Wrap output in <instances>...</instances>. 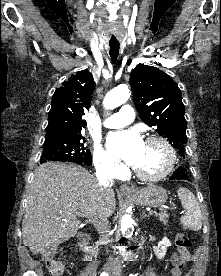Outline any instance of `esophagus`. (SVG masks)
Here are the masks:
<instances>
[{
	"label": "esophagus",
	"mask_w": 221,
	"mask_h": 276,
	"mask_svg": "<svg viewBox=\"0 0 221 276\" xmlns=\"http://www.w3.org/2000/svg\"><path fill=\"white\" fill-rule=\"evenodd\" d=\"M120 192L125 193V194H130V193H134L135 189L126 184H123L120 186Z\"/></svg>",
	"instance_id": "34e87169"
}]
</instances>
